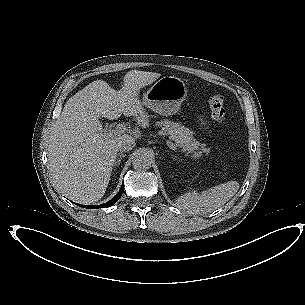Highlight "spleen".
Listing matches in <instances>:
<instances>
[{
    "label": "spleen",
    "instance_id": "1",
    "mask_svg": "<svg viewBox=\"0 0 305 305\" xmlns=\"http://www.w3.org/2000/svg\"><path fill=\"white\" fill-rule=\"evenodd\" d=\"M235 181L211 187L201 193L189 191L177 199V205L192 214H206L224 205L231 198Z\"/></svg>",
    "mask_w": 305,
    "mask_h": 305
}]
</instances>
